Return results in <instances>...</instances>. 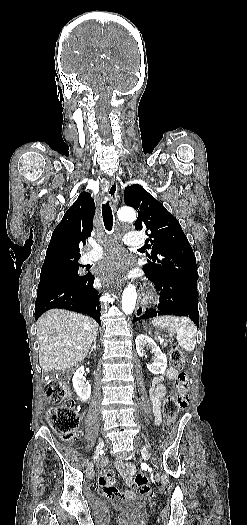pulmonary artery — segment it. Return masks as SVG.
<instances>
[{
  "instance_id": "obj_1",
  "label": "pulmonary artery",
  "mask_w": 247,
  "mask_h": 525,
  "mask_svg": "<svg viewBox=\"0 0 247 525\" xmlns=\"http://www.w3.org/2000/svg\"><path fill=\"white\" fill-rule=\"evenodd\" d=\"M145 236H124L123 242L132 248L140 247L144 244ZM97 259L96 254L94 251H86L82 257L80 258V261H95Z\"/></svg>"
}]
</instances>
